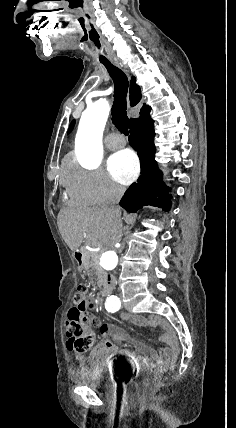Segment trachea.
Returning a JSON list of instances; mask_svg holds the SVG:
<instances>
[{
    "mask_svg": "<svg viewBox=\"0 0 236 428\" xmlns=\"http://www.w3.org/2000/svg\"><path fill=\"white\" fill-rule=\"evenodd\" d=\"M87 22L82 24V29L88 31L90 34V45L93 47L96 53V59L98 64H103L110 77L114 82V102L112 106V120L118 130L124 135H128V117H127V103L126 96L128 92V78L120 68L115 67L110 62L108 51H104V48L100 45L102 35L98 33V29L92 23L91 16L87 15Z\"/></svg>",
    "mask_w": 236,
    "mask_h": 428,
    "instance_id": "obj_1",
    "label": "trachea"
}]
</instances>
